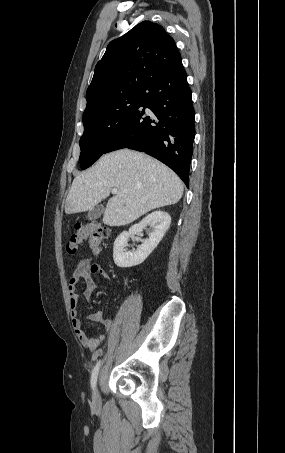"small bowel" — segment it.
I'll list each match as a JSON object with an SVG mask.
<instances>
[{"mask_svg": "<svg viewBox=\"0 0 285 453\" xmlns=\"http://www.w3.org/2000/svg\"><path fill=\"white\" fill-rule=\"evenodd\" d=\"M100 275L103 279L108 280L110 277L108 273L101 268V266L93 261L91 258H85L77 263L75 269L70 277L68 284L69 304L71 310V319L74 331L81 344L88 350L95 351L104 342L109 332L111 331L114 321L106 317L103 311H97L90 315L88 320L90 322L101 323L102 331L96 337H90L83 329L82 322L79 318L78 304L80 296L78 294V285L81 280L85 281L86 289L83 296L89 300L92 294L97 289V283L94 275Z\"/></svg>", "mask_w": 285, "mask_h": 453, "instance_id": "obj_1", "label": "small bowel"}]
</instances>
